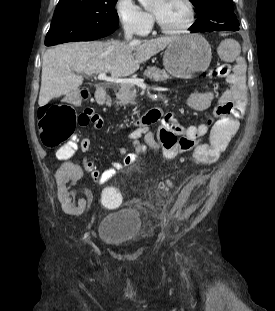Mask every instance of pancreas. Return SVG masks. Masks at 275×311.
<instances>
[{"label":"pancreas","mask_w":275,"mask_h":311,"mask_svg":"<svg viewBox=\"0 0 275 311\" xmlns=\"http://www.w3.org/2000/svg\"><path fill=\"white\" fill-rule=\"evenodd\" d=\"M143 75L145 77L153 78L155 81H165L169 79V75L166 71L156 67H148ZM136 87L132 84L121 85L118 93L116 94V104L120 106H126L127 104H136Z\"/></svg>","instance_id":"obj_1"}]
</instances>
